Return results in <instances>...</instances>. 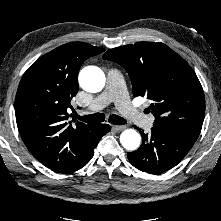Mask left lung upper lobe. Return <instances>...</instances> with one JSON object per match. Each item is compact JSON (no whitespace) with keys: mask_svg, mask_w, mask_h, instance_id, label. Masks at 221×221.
<instances>
[{"mask_svg":"<svg viewBox=\"0 0 221 221\" xmlns=\"http://www.w3.org/2000/svg\"><path fill=\"white\" fill-rule=\"evenodd\" d=\"M103 59L123 66L133 95L152 100L153 127L196 141L205 114L202 86L189 64L163 43L138 42L109 49Z\"/></svg>","mask_w":221,"mask_h":221,"instance_id":"1","label":"left lung upper lobe"}]
</instances>
